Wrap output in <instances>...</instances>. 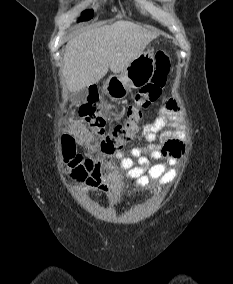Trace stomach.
<instances>
[{
    "label": "stomach",
    "mask_w": 233,
    "mask_h": 284,
    "mask_svg": "<svg viewBox=\"0 0 233 284\" xmlns=\"http://www.w3.org/2000/svg\"><path fill=\"white\" fill-rule=\"evenodd\" d=\"M154 66L153 53L143 52L124 71L107 79L103 86L104 93L112 100L124 99L131 88H139L151 80Z\"/></svg>",
    "instance_id": "stomach-1"
}]
</instances>
